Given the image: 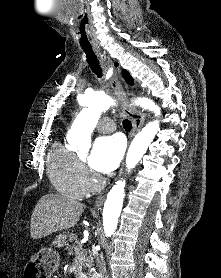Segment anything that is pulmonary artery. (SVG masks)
<instances>
[{"label": "pulmonary artery", "instance_id": "pulmonary-artery-1", "mask_svg": "<svg viewBox=\"0 0 221 278\" xmlns=\"http://www.w3.org/2000/svg\"><path fill=\"white\" fill-rule=\"evenodd\" d=\"M97 128L101 133H109L115 129V124L110 118H103L99 121Z\"/></svg>", "mask_w": 221, "mask_h": 278}]
</instances>
